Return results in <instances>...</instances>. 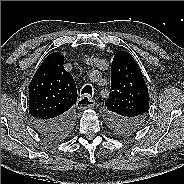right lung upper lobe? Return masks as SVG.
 Masks as SVG:
<instances>
[{
  "instance_id": "obj_1",
  "label": "right lung upper lobe",
  "mask_w": 184,
  "mask_h": 184,
  "mask_svg": "<svg viewBox=\"0 0 184 184\" xmlns=\"http://www.w3.org/2000/svg\"><path fill=\"white\" fill-rule=\"evenodd\" d=\"M64 56L48 55L37 69L29 85V114L33 120L49 121L70 112L77 100L72 75L64 69Z\"/></svg>"
}]
</instances>
